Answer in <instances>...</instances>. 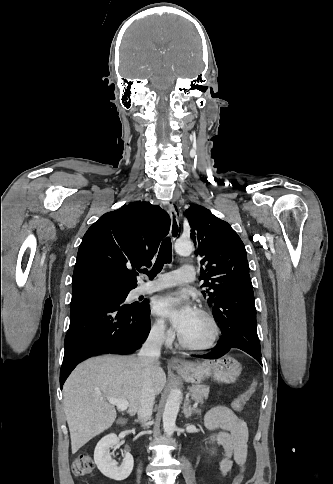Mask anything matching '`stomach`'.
<instances>
[{"instance_id":"stomach-1","label":"stomach","mask_w":333,"mask_h":484,"mask_svg":"<svg viewBox=\"0 0 333 484\" xmlns=\"http://www.w3.org/2000/svg\"><path fill=\"white\" fill-rule=\"evenodd\" d=\"M174 369L186 382L196 385H200L209 378L230 384L237 380L242 366L233 357L225 355L217 359L185 362L181 367H174Z\"/></svg>"}]
</instances>
